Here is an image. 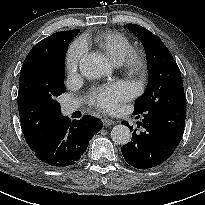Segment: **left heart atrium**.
<instances>
[{"instance_id": "39dd6f15", "label": "left heart atrium", "mask_w": 205, "mask_h": 205, "mask_svg": "<svg viewBox=\"0 0 205 205\" xmlns=\"http://www.w3.org/2000/svg\"><path fill=\"white\" fill-rule=\"evenodd\" d=\"M134 94V86L127 81L112 82L94 88L89 95V103L102 110H114L120 103L130 99Z\"/></svg>"}]
</instances>
